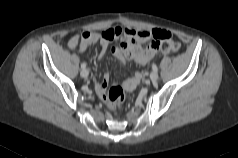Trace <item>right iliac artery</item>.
<instances>
[{
  "label": "right iliac artery",
  "mask_w": 238,
  "mask_h": 158,
  "mask_svg": "<svg viewBox=\"0 0 238 158\" xmlns=\"http://www.w3.org/2000/svg\"><path fill=\"white\" fill-rule=\"evenodd\" d=\"M81 68H82V69L86 68V63H82V64H81Z\"/></svg>",
  "instance_id": "1"
}]
</instances>
